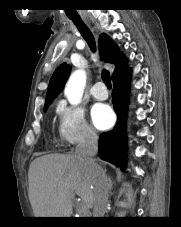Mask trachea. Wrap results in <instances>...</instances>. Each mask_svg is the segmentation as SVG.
Returning <instances> with one entry per match:
<instances>
[{
    "mask_svg": "<svg viewBox=\"0 0 181 227\" xmlns=\"http://www.w3.org/2000/svg\"><path fill=\"white\" fill-rule=\"evenodd\" d=\"M73 23L76 25V27L78 28L79 32L81 33L82 37L86 40V42L88 43V45L90 46L92 51H95V41H94V37L91 33V31L89 30V28L85 25V23L79 19V20H72ZM102 80L104 81V83L106 84V86L108 88H111V78H110V73L107 70H104L102 72Z\"/></svg>",
    "mask_w": 181,
    "mask_h": 227,
    "instance_id": "3493384b",
    "label": "trachea"
}]
</instances>
